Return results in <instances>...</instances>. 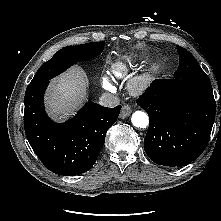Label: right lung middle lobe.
I'll return each instance as SVG.
<instances>
[{
    "label": "right lung middle lobe",
    "mask_w": 221,
    "mask_h": 221,
    "mask_svg": "<svg viewBox=\"0 0 221 221\" xmlns=\"http://www.w3.org/2000/svg\"><path fill=\"white\" fill-rule=\"evenodd\" d=\"M104 45L105 42L101 41L62 48L38 69L30 84L50 80L71 65L99 55Z\"/></svg>",
    "instance_id": "dd1d6c3e"
}]
</instances>
